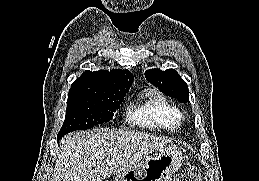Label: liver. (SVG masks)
Here are the masks:
<instances>
[{
    "label": "liver",
    "mask_w": 259,
    "mask_h": 181,
    "mask_svg": "<svg viewBox=\"0 0 259 181\" xmlns=\"http://www.w3.org/2000/svg\"><path fill=\"white\" fill-rule=\"evenodd\" d=\"M168 144V140L134 131L71 133L61 140L53 181H102L172 146Z\"/></svg>",
    "instance_id": "liver-1"
}]
</instances>
